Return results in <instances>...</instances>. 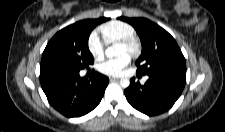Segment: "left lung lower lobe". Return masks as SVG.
<instances>
[{"label": "left lung lower lobe", "instance_id": "left-lung-lower-lobe-1", "mask_svg": "<svg viewBox=\"0 0 225 132\" xmlns=\"http://www.w3.org/2000/svg\"><path fill=\"white\" fill-rule=\"evenodd\" d=\"M148 76L144 85L132 78L124 93L135 109L154 116L167 111L180 97L186 83V72H153Z\"/></svg>", "mask_w": 225, "mask_h": 132}]
</instances>
